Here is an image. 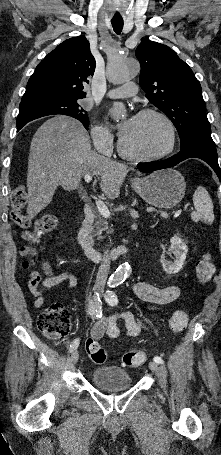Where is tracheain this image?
<instances>
[{
    "label": "trachea",
    "instance_id": "trachea-1",
    "mask_svg": "<svg viewBox=\"0 0 221 455\" xmlns=\"http://www.w3.org/2000/svg\"><path fill=\"white\" fill-rule=\"evenodd\" d=\"M112 27L116 34H120L123 29V19L121 17H114L111 19Z\"/></svg>",
    "mask_w": 221,
    "mask_h": 455
}]
</instances>
